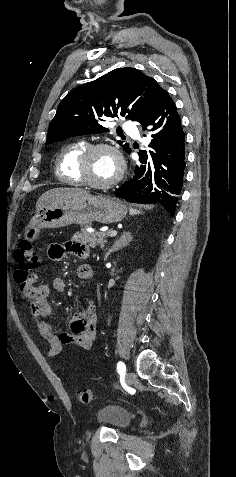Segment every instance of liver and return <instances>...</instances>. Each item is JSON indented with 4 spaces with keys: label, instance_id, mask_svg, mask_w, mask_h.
I'll use <instances>...</instances> for the list:
<instances>
[{
    "label": "liver",
    "instance_id": "1",
    "mask_svg": "<svg viewBox=\"0 0 236 477\" xmlns=\"http://www.w3.org/2000/svg\"><path fill=\"white\" fill-rule=\"evenodd\" d=\"M86 194H88V191L81 188H54L40 196L36 204V210L38 212L46 205L57 204Z\"/></svg>",
    "mask_w": 236,
    "mask_h": 477
}]
</instances>
